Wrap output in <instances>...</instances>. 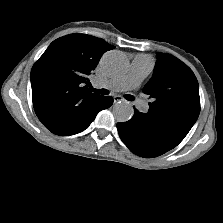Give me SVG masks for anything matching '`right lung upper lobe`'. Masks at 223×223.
I'll return each instance as SVG.
<instances>
[{
	"label": "right lung upper lobe",
	"mask_w": 223,
	"mask_h": 223,
	"mask_svg": "<svg viewBox=\"0 0 223 223\" xmlns=\"http://www.w3.org/2000/svg\"><path fill=\"white\" fill-rule=\"evenodd\" d=\"M112 48L98 38L69 35L54 41L33 67L34 108L51 132L71 131L90 116L100 98L87 92L86 75Z\"/></svg>",
	"instance_id": "right-lung-upper-lobe-1"
}]
</instances>
